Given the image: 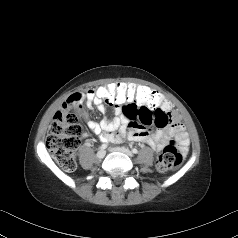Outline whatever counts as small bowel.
<instances>
[{
  "label": "small bowel",
  "mask_w": 238,
  "mask_h": 238,
  "mask_svg": "<svg viewBox=\"0 0 238 238\" xmlns=\"http://www.w3.org/2000/svg\"><path fill=\"white\" fill-rule=\"evenodd\" d=\"M75 96H80V100L74 106L80 111L82 116H85L81 105L83 97L88 108L95 106L102 114L106 113V104L108 103H103L99 99L96 89L87 91L85 95L77 93L70 98ZM109 105L115 107L116 115L113 118L104 116L100 122H88L90 131L99 136L101 141L120 142L128 139L133 142L147 144L152 149L160 151L172 139H175L181 151L183 153L187 152L189 146L188 134L180 123L179 115L172 111L169 102L165 101L158 109H150L153 123L148 124L140 121V113L145 106H133L128 103H111ZM116 130H118L117 133H115ZM87 136V134H84V137Z\"/></svg>",
  "instance_id": "1"
}]
</instances>
